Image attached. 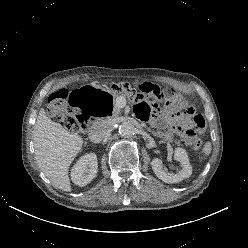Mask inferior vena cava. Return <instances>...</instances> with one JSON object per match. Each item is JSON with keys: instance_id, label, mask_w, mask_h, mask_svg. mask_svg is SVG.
<instances>
[{"instance_id": "inferior-vena-cava-1", "label": "inferior vena cava", "mask_w": 248, "mask_h": 248, "mask_svg": "<svg viewBox=\"0 0 248 248\" xmlns=\"http://www.w3.org/2000/svg\"><path fill=\"white\" fill-rule=\"evenodd\" d=\"M113 129V125L109 120H101L96 122L89 131V139L93 143H100L109 136Z\"/></svg>"}]
</instances>
